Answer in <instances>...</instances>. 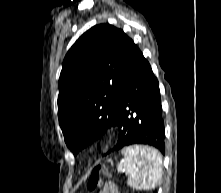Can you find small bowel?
I'll use <instances>...</instances> for the list:
<instances>
[{
    "mask_svg": "<svg viewBox=\"0 0 221 193\" xmlns=\"http://www.w3.org/2000/svg\"><path fill=\"white\" fill-rule=\"evenodd\" d=\"M99 193H119L115 185L111 183H105Z\"/></svg>",
    "mask_w": 221,
    "mask_h": 193,
    "instance_id": "obj_1",
    "label": "small bowel"
}]
</instances>
